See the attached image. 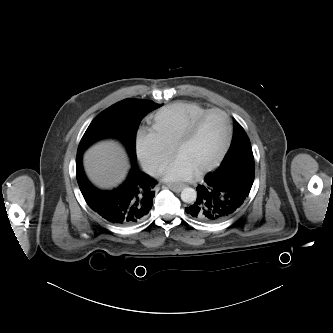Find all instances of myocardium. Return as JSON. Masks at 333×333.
<instances>
[{"label":"myocardium","instance_id":"f54148a6","mask_svg":"<svg viewBox=\"0 0 333 333\" xmlns=\"http://www.w3.org/2000/svg\"><path fill=\"white\" fill-rule=\"evenodd\" d=\"M213 113L221 114L224 117V119L226 120V123H227L226 138H225V141H224L218 155L215 157V159L211 163H209L208 165L198 169L195 172L197 175H202V174L207 173V172L211 171L212 169H214L221 162L223 157L225 156V154H226V152H227V150H228V148L231 144L232 137H233V123H232V119L229 116V114L227 112H225L224 110L219 109V108L208 109L207 111H205L204 113H202L201 115L196 117L191 123H189V125L176 138L175 142L172 145L173 151L176 152V150L178 149V147L180 145H182L184 142L188 141L194 135V133L197 130L200 123L206 117H208L210 114H213Z\"/></svg>","mask_w":333,"mask_h":333}]
</instances>
